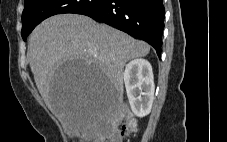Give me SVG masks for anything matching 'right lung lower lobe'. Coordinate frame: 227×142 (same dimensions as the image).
<instances>
[{
    "mask_svg": "<svg viewBox=\"0 0 227 142\" xmlns=\"http://www.w3.org/2000/svg\"><path fill=\"white\" fill-rule=\"evenodd\" d=\"M78 14L148 42L160 58L165 16L163 0H105L100 6Z\"/></svg>",
    "mask_w": 227,
    "mask_h": 142,
    "instance_id": "98d812e1",
    "label": "right lung lower lobe"
}]
</instances>
